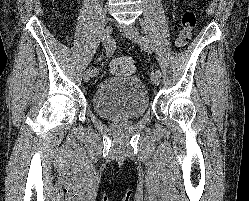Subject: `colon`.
<instances>
[{
	"label": "colon",
	"instance_id": "colon-1",
	"mask_svg": "<svg viewBox=\"0 0 249 201\" xmlns=\"http://www.w3.org/2000/svg\"><path fill=\"white\" fill-rule=\"evenodd\" d=\"M196 22L197 16L193 4L191 1H187L181 14V30L176 39V45L178 47H185L189 43ZM109 69L114 74L129 76L134 72L135 63L132 58L121 56L110 62Z\"/></svg>",
	"mask_w": 249,
	"mask_h": 201
}]
</instances>
